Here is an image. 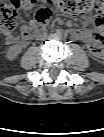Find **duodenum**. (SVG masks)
<instances>
[{
  "label": "duodenum",
  "mask_w": 104,
  "mask_h": 137,
  "mask_svg": "<svg viewBox=\"0 0 104 137\" xmlns=\"http://www.w3.org/2000/svg\"><path fill=\"white\" fill-rule=\"evenodd\" d=\"M43 33L42 29L40 27L36 28L32 32V38L38 37Z\"/></svg>",
  "instance_id": "410a0bca"
}]
</instances>
